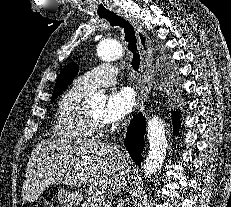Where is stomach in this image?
<instances>
[{"mask_svg":"<svg viewBox=\"0 0 231 207\" xmlns=\"http://www.w3.org/2000/svg\"><path fill=\"white\" fill-rule=\"evenodd\" d=\"M81 199L79 192H71L66 189H60L58 192V201L62 207H77Z\"/></svg>","mask_w":231,"mask_h":207,"instance_id":"0dacf381","label":"stomach"}]
</instances>
